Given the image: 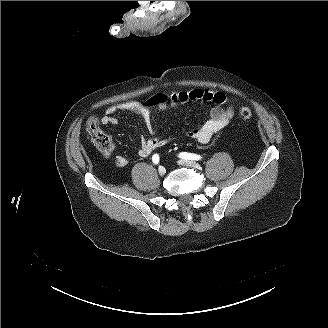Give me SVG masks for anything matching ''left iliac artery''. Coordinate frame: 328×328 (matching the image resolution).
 <instances>
[{"mask_svg":"<svg viewBox=\"0 0 328 328\" xmlns=\"http://www.w3.org/2000/svg\"><path fill=\"white\" fill-rule=\"evenodd\" d=\"M179 157L183 158V159H188V160H199V159H201L200 155L187 153V152L180 153Z\"/></svg>","mask_w":328,"mask_h":328,"instance_id":"44dca946","label":"left iliac artery"}]
</instances>
